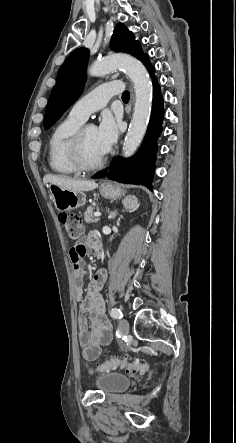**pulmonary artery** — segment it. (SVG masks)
<instances>
[{
	"mask_svg": "<svg viewBox=\"0 0 236 443\" xmlns=\"http://www.w3.org/2000/svg\"><path fill=\"white\" fill-rule=\"evenodd\" d=\"M122 91L123 83L121 81L104 83L81 97L72 106L69 115L85 121L92 112L104 107L113 95L119 94Z\"/></svg>",
	"mask_w": 236,
	"mask_h": 443,
	"instance_id": "pulmonary-artery-1",
	"label": "pulmonary artery"
}]
</instances>
